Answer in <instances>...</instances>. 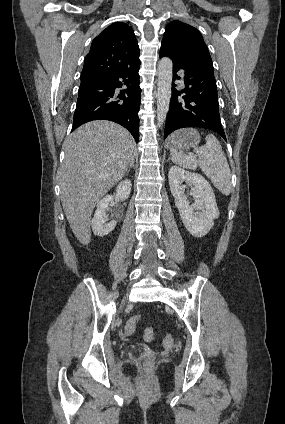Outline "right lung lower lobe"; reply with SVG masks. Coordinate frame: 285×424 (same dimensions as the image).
Returning <instances> with one entry per match:
<instances>
[{"label":"right lung lower lobe","mask_w":285,"mask_h":424,"mask_svg":"<svg viewBox=\"0 0 285 424\" xmlns=\"http://www.w3.org/2000/svg\"><path fill=\"white\" fill-rule=\"evenodd\" d=\"M139 68L140 63L104 78L81 82L72 131L92 120H110L128 129L138 142L141 96ZM122 85L127 88L120 90L117 96L115 89Z\"/></svg>","instance_id":"right-lung-lower-lobe-1"}]
</instances>
